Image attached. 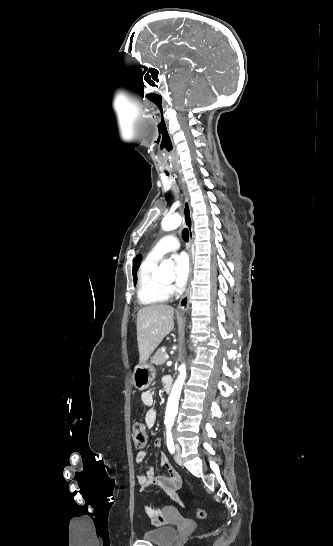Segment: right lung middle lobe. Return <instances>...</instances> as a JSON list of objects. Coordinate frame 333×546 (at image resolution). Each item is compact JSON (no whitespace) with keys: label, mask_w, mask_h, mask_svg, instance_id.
Instances as JSON below:
<instances>
[{"label":"right lung middle lobe","mask_w":333,"mask_h":546,"mask_svg":"<svg viewBox=\"0 0 333 546\" xmlns=\"http://www.w3.org/2000/svg\"><path fill=\"white\" fill-rule=\"evenodd\" d=\"M138 269V265L137 264H133V276H135V273ZM136 284V283H135Z\"/></svg>","instance_id":"dd1d6c3e"}]
</instances>
